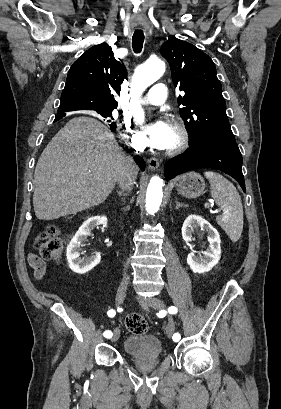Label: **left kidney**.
I'll return each instance as SVG.
<instances>
[{
    "mask_svg": "<svg viewBox=\"0 0 281 409\" xmlns=\"http://www.w3.org/2000/svg\"><path fill=\"white\" fill-rule=\"evenodd\" d=\"M196 227H201L203 231H206L210 245L207 251H202L203 257L202 255L196 257L195 253H189L187 263L194 273H208L220 261L221 241L219 233L208 221H205L199 215H188L182 227V239H184L187 245L192 241L193 229H196Z\"/></svg>",
    "mask_w": 281,
    "mask_h": 409,
    "instance_id": "left-kidney-1",
    "label": "left kidney"
}]
</instances>
